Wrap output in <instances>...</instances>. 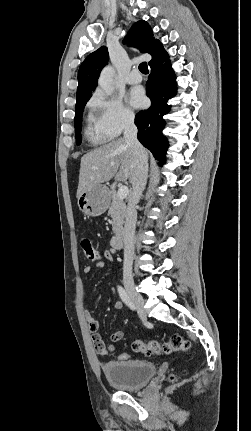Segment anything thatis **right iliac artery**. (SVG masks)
<instances>
[{"instance_id": "obj_1", "label": "right iliac artery", "mask_w": 251, "mask_h": 431, "mask_svg": "<svg viewBox=\"0 0 251 431\" xmlns=\"http://www.w3.org/2000/svg\"><path fill=\"white\" fill-rule=\"evenodd\" d=\"M118 293L120 298L122 299V301L131 309H134V303L132 302L130 296L128 295V293L123 289V287L118 286L117 288Z\"/></svg>"}]
</instances>
